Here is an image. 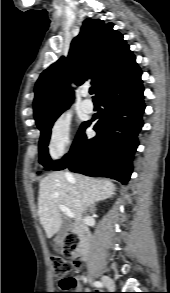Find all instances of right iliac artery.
<instances>
[{
    "label": "right iliac artery",
    "instance_id": "right-iliac-artery-1",
    "mask_svg": "<svg viewBox=\"0 0 170 293\" xmlns=\"http://www.w3.org/2000/svg\"><path fill=\"white\" fill-rule=\"evenodd\" d=\"M93 284H94V286H96V287H103V283L100 282V281H95Z\"/></svg>",
    "mask_w": 170,
    "mask_h": 293
}]
</instances>
